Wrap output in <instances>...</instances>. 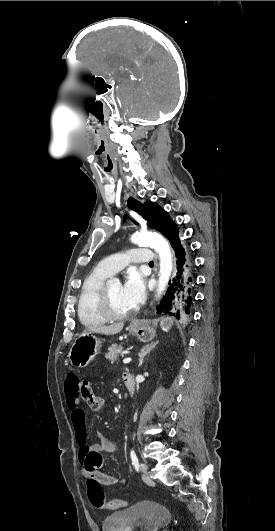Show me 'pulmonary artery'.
Returning <instances> with one entry per match:
<instances>
[{"label":"pulmonary artery","instance_id":"e3ab8cb5","mask_svg":"<svg viewBox=\"0 0 275 531\" xmlns=\"http://www.w3.org/2000/svg\"><path fill=\"white\" fill-rule=\"evenodd\" d=\"M155 257L156 252L154 250H138L136 247H132L125 254H110L106 257V261H98L97 270L118 276L122 272L121 268H126L125 264L128 259H131L133 265H148Z\"/></svg>","mask_w":275,"mask_h":531}]
</instances>
